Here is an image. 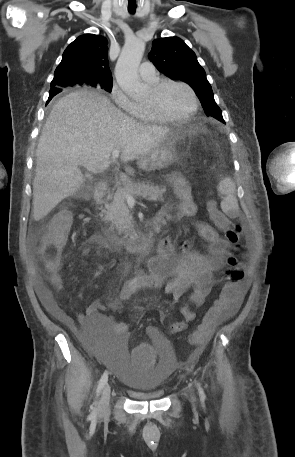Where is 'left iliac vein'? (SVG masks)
I'll use <instances>...</instances> for the list:
<instances>
[{"instance_id":"1","label":"left iliac vein","mask_w":295,"mask_h":457,"mask_svg":"<svg viewBox=\"0 0 295 457\" xmlns=\"http://www.w3.org/2000/svg\"><path fill=\"white\" fill-rule=\"evenodd\" d=\"M190 400H191L192 404H195V402H196V397H195V395H194L192 392H190Z\"/></svg>"}]
</instances>
